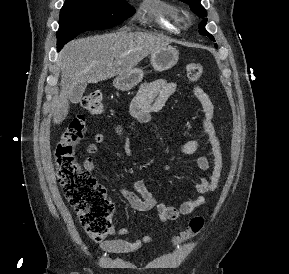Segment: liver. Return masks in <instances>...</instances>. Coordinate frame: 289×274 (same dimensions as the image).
Returning a JSON list of instances; mask_svg holds the SVG:
<instances>
[{
    "instance_id": "liver-1",
    "label": "liver",
    "mask_w": 289,
    "mask_h": 274,
    "mask_svg": "<svg viewBox=\"0 0 289 274\" xmlns=\"http://www.w3.org/2000/svg\"><path fill=\"white\" fill-rule=\"evenodd\" d=\"M167 45L166 39L155 35L125 30L76 39L65 45L59 54L61 91L53 123L61 124L67 117L70 96L76 85L126 74L147 55Z\"/></svg>"
}]
</instances>
